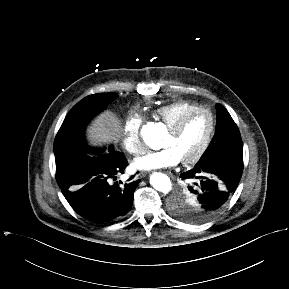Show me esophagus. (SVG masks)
Returning a JSON list of instances; mask_svg holds the SVG:
<instances>
[{
	"mask_svg": "<svg viewBox=\"0 0 289 289\" xmlns=\"http://www.w3.org/2000/svg\"><path fill=\"white\" fill-rule=\"evenodd\" d=\"M167 175H169L170 177H172V178H173V175H172V173H171V172H167Z\"/></svg>",
	"mask_w": 289,
	"mask_h": 289,
	"instance_id": "esophagus-1",
	"label": "esophagus"
}]
</instances>
